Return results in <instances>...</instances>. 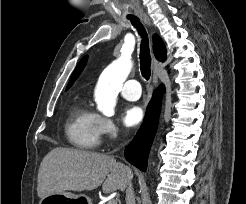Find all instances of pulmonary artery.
Segmentation results:
<instances>
[{"mask_svg":"<svg viewBox=\"0 0 246 204\" xmlns=\"http://www.w3.org/2000/svg\"><path fill=\"white\" fill-rule=\"evenodd\" d=\"M121 94L127 100H138L141 96L140 83L134 79L126 81L122 87Z\"/></svg>","mask_w":246,"mask_h":204,"instance_id":"1","label":"pulmonary artery"}]
</instances>
